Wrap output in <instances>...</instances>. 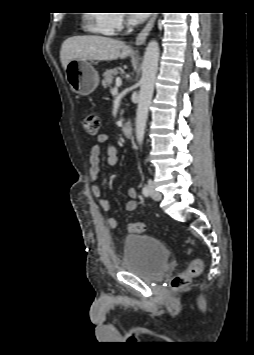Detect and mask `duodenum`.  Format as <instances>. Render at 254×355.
<instances>
[{
	"label": "duodenum",
	"instance_id": "duodenum-1",
	"mask_svg": "<svg viewBox=\"0 0 254 355\" xmlns=\"http://www.w3.org/2000/svg\"><path fill=\"white\" fill-rule=\"evenodd\" d=\"M122 132L125 137L131 138L134 132L132 124L129 122L124 123L122 127Z\"/></svg>",
	"mask_w": 254,
	"mask_h": 355
}]
</instances>
